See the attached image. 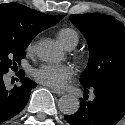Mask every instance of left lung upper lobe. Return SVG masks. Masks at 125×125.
I'll return each instance as SVG.
<instances>
[{"mask_svg":"<svg viewBox=\"0 0 125 125\" xmlns=\"http://www.w3.org/2000/svg\"><path fill=\"white\" fill-rule=\"evenodd\" d=\"M70 20L84 34L90 50L81 84L92 87L103 81H125V26L99 13L71 15Z\"/></svg>","mask_w":125,"mask_h":125,"instance_id":"5c2ea615","label":"left lung upper lobe"}]
</instances>
